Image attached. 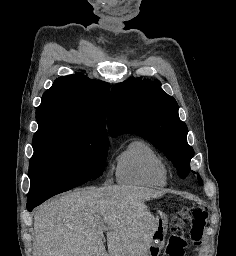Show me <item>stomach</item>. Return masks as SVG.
<instances>
[{
    "label": "stomach",
    "instance_id": "stomach-1",
    "mask_svg": "<svg viewBox=\"0 0 236 256\" xmlns=\"http://www.w3.org/2000/svg\"><path fill=\"white\" fill-rule=\"evenodd\" d=\"M167 224V218L163 214L156 218V228L152 236V242L147 256H159L164 246Z\"/></svg>",
    "mask_w": 236,
    "mask_h": 256
}]
</instances>
